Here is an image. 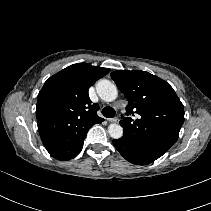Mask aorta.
Listing matches in <instances>:
<instances>
[{
  "instance_id": "1",
  "label": "aorta",
  "mask_w": 211,
  "mask_h": 211,
  "mask_svg": "<svg viewBox=\"0 0 211 211\" xmlns=\"http://www.w3.org/2000/svg\"><path fill=\"white\" fill-rule=\"evenodd\" d=\"M96 91L99 97L106 101L112 102L117 98V87L109 80H100L96 85ZM108 133L114 139H119L123 136V128L119 124H110Z\"/></svg>"
}]
</instances>
